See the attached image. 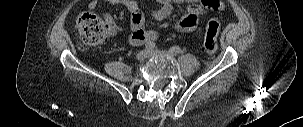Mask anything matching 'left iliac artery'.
Segmentation results:
<instances>
[{"mask_svg":"<svg viewBox=\"0 0 303 127\" xmlns=\"http://www.w3.org/2000/svg\"><path fill=\"white\" fill-rule=\"evenodd\" d=\"M169 52H171L173 55H176L181 52V48L179 46H173L169 49Z\"/></svg>","mask_w":303,"mask_h":127,"instance_id":"left-iliac-artery-1","label":"left iliac artery"}]
</instances>
